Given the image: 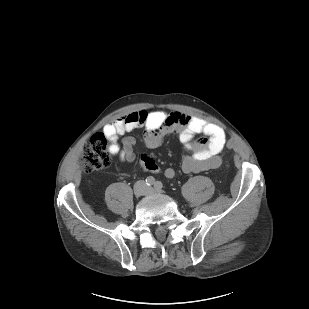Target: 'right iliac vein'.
Instances as JSON below:
<instances>
[{
	"mask_svg": "<svg viewBox=\"0 0 309 309\" xmlns=\"http://www.w3.org/2000/svg\"><path fill=\"white\" fill-rule=\"evenodd\" d=\"M134 193H135L136 196H140L141 193H142V188H141V186H137V187L135 188V190H134Z\"/></svg>",
	"mask_w": 309,
	"mask_h": 309,
	"instance_id": "63e3f726",
	"label": "right iliac vein"
}]
</instances>
